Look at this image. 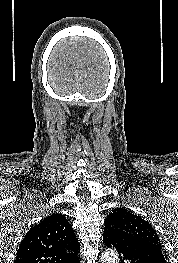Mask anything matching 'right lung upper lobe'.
I'll list each match as a JSON object with an SVG mask.
<instances>
[{"mask_svg":"<svg viewBox=\"0 0 178 263\" xmlns=\"http://www.w3.org/2000/svg\"><path fill=\"white\" fill-rule=\"evenodd\" d=\"M79 251L68 220L61 214H52L26 233L14 263H71Z\"/></svg>","mask_w":178,"mask_h":263,"instance_id":"cb5924a9","label":"right lung upper lobe"}]
</instances>
